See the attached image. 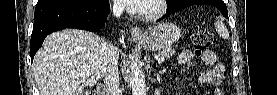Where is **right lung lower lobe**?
<instances>
[{
    "mask_svg": "<svg viewBox=\"0 0 277 95\" xmlns=\"http://www.w3.org/2000/svg\"><path fill=\"white\" fill-rule=\"evenodd\" d=\"M109 13V0L51 2L36 5L31 35V61L48 34L65 28L97 32L104 26Z\"/></svg>",
    "mask_w": 277,
    "mask_h": 95,
    "instance_id": "98d812e1",
    "label": "right lung lower lobe"
}]
</instances>
